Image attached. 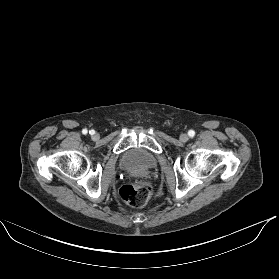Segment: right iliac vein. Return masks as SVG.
Wrapping results in <instances>:
<instances>
[{
	"label": "right iliac vein",
	"mask_w": 279,
	"mask_h": 279,
	"mask_svg": "<svg viewBox=\"0 0 279 279\" xmlns=\"http://www.w3.org/2000/svg\"><path fill=\"white\" fill-rule=\"evenodd\" d=\"M98 134H94L93 136H92V138L94 139V140H96V139H98Z\"/></svg>",
	"instance_id": "63e3f726"
}]
</instances>
